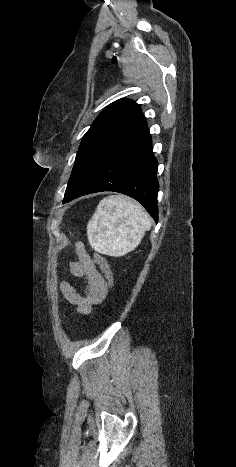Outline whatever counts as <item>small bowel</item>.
Instances as JSON below:
<instances>
[{
  "mask_svg": "<svg viewBox=\"0 0 236 467\" xmlns=\"http://www.w3.org/2000/svg\"><path fill=\"white\" fill-rule=\"evenodd\" d=\"M73 276L85 281V288L79 293L68 281H61L60 290L64 298L82 315L91 313L93 306L100 304L109 289L108 282L97 265L81 244L76 245V260L70 264Z\"/></svg>",
  "mask_w": 236,
  "mask_h": 467,
  "instance_id": "c3829d8e",
  "label": "small bowel"
}]
</instances>
